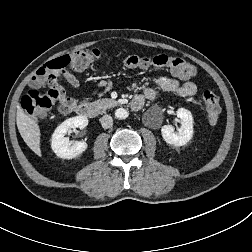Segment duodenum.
I'll return each instance as SVG.
<instances>
[{"instance_id":"duodenum-1","label":"duodenum","mask_w":252,"mask_h":252,"mask_svg":"<svg viewBox=\"0 0 252 252\" xmlns=\"http://www.w3.org/2000/svg\"><path fill=\"white\" fill-rule=\"evenodd\" d=\"M144 104L142 98H135L131 102V107L134 110H140ZM76 114L80 117L84 118H94L97 115V109L94 104L91 103H83L76 107Z\"/></svg>"}]
</instances>
